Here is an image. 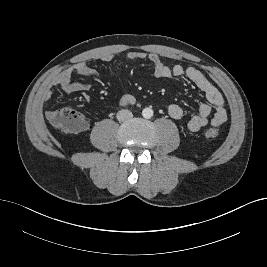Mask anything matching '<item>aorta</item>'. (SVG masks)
Listing matches in <instances>:
<instances>
[{"label": "aorta", "instance_id": "762f6f07", "mask_svg": "<svg viewBox=\"0 0 267 267\" xmlns=\"http://www.w3.org/2000/svg\"><path fill=\"white\" fill-rule=\"evenodd\" d=\"M142 116L146 119H149L153 116V110L151 108H144L142 111Z\"/></svg>", "mask_w": 267, "mask_h": 267}]
</instances>
